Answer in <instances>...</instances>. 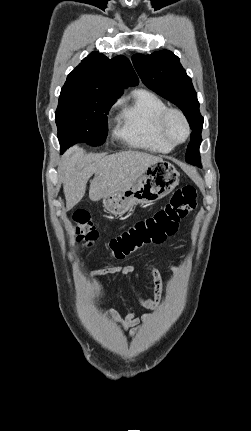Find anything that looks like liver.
<instances>
[{
  "label": "liver",
  "instance_id": "liver-1",
  "mask_svg": "<svg viewBox=\"0 0 251 431\" xmlns=\"http://www.w3.org/2000/svg\"><path fill=\"white\" fill-rule=\"evenodd\" d=\"M162 160L160 157L141 151H122L112 155H85L78 146L70 148L61 157L58 168L63 182L66 210H71L85 195L90 183L89 198L99 201L107 194L126 188L150 164Z\"/></svg>",
  "mask_w": 251,
  "mask_h": 431
}]
</instances>
